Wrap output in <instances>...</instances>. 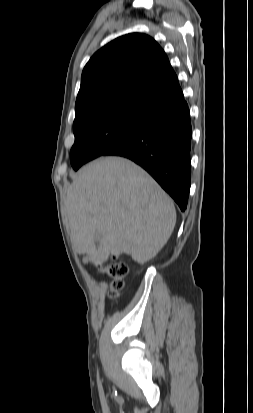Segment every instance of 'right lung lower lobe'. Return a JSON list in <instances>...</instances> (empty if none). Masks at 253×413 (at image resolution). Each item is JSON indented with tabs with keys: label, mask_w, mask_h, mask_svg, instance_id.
<instances>
[{
	"label": "right lung lower lobe",
	"mask_w": 253,
	"mask_h": 413,
	"mask_svg": "<svg viewBox=\"0 0 253 413\" xmlns=\"http://www.w3.org/2000/svg\"><path fill=\"white\" fill-rule=\"evenodd\" d=\"M192 128L186 101L157 109L146 125L103 155L131 159L143 167L184 211L191 172Z\"/></svg>",
	"instance_id": "98d812e1"
}]
</instances>
